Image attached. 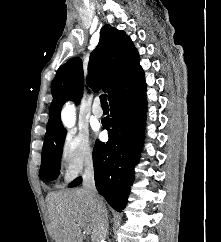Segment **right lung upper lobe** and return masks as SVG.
I'll list each match as a JSON object with an SVG mask.
<instances>
[{"label":"right lung upper lobe","mask_w":221,"mask_h":242,"mask_svg":"<svg viewBox=\"0 0 221 242\" xmlns=\"http://www.w3.org/2000/svg\"><path fill=\"white\" fill-rule=\"evenodd\" d=\"M139 54L124 31L106 24L101 29L100 40L90 55L87 84L94 92L102 89L111 98L126 80L141 73ZM84 73L82 60L73 58L62 65L51 84L53 101L44 139L64 131L60 111L63 104L72 99L78 103L83 94Z\"/></svg>","instance_id":"right-lung-upper-lobe-1"}]
</instances>
